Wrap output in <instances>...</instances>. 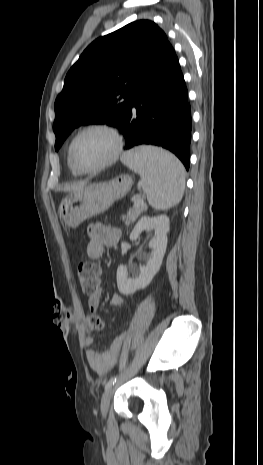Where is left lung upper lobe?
Here are the masks:
<instances>
[{
    "instance_id": "5c2ea615",
    "label": "left lung upper lobe",
    "mask_w": 263,
    "mask_h": 465,
    "mask_svg": "<svg viewBox=\"0 0 263 465\" xmlns=\"http://www.w3.org/2000/svg\"><path fill=\"white\" fill-rule=\"evenodd\" d=\"M168 43L150 20L132 22L92 42L67 73L55 101V150L82 124L120 128L134 85Z\"/></svg>"
}]
</instances>
